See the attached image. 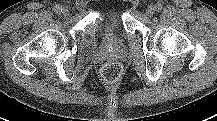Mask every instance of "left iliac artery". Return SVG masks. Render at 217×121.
Wrapping results in <instances>:
<instances>
[{
    "label": "left iliac artery",
    "instance_id": "left-iliac-artery-1",
    "mask_svg": "<svg viewBox=\"0 0 217 121\" xmlns=\"http://www.w3.org/2000/svg\"><path fill=\"white\" fill-rule=\"evenodd\" d=\"M162 8H163V6H162L161 3H157V4L155 5V9H156V11H158V12L161 11Z\"/></svg>",
    "mask_w": 217,
    "mask_h": 121
}]
</instances>
